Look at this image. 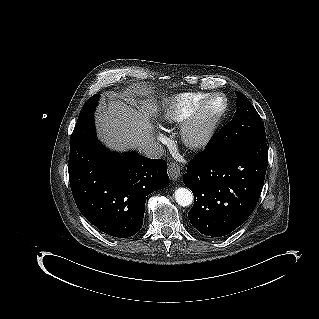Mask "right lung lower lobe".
Returning a JSON list of instances; mask_svg holds the SVG:
<instances>
[{
  "mask_svg": "<svg viewBox=\"0 0 319 319\" xmlns=\"http://www.w3.org/2000/svg\"><path fill=\"white\" fill-rule=\"evenodd\" d=\"M166 165L136 152H107L93 113L77 121L68 164L73 196L83 216L110 236L127 238L141 229L147 196L169 185Z\"/></svg>",
  "mask_w": 319,
  "mask_h": 319,
  "instance_id": "1",
  "label": "right lung lower lobe"
}]
</instances>
